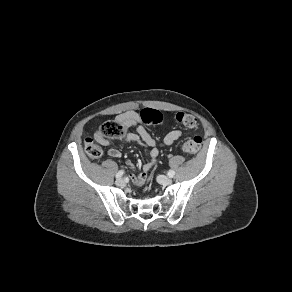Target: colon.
<instances>
[{
    "label": "colon",
    "mask_w": 292,
    "mask_h": 292,
    "mask_svg": "<svg viewBox=\"0 0 292 292\" xmlns=\"http://www.w3.org/2000/svg\"><path fill=\"white\" fill-rule=\"evenodd\" d=\"M141 120L147 124H157L162 121L163 117L160 112L153 109H144L140 112ZM176 120L183 124L188 129H194L197 126L196 119L189 114L180 112L176 114ZM127 133V128L120 122L106 121L96 131L94 138H87L85 140V150L91 158H99L102 155L100 146V139H121ZM202 145V138L194 136L187 139L183 143V151L190 155L197 154Z\"/></svg>",
    "instance_id": "1"
}]
</instances>
